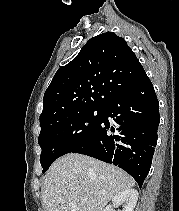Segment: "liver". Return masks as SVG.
Masks as SVG:
<instances>
[{
  "mask_svg": "<svg viewBox=\"0 0 179 211\" xmlns=\"http://www.w3.org/2000/svg\"><path fill=\"white\" fill-rule=\"evenodd\" d=\"M134 185L130 175L113 165L69 153L49 168L41 196L45 211H103L116 194Z\"/></svg>",
  "mask_w": 179,
  "mask_h": 211,
  "instance_id": "obj_1",
  "label": "liver"
}]
</instances>
